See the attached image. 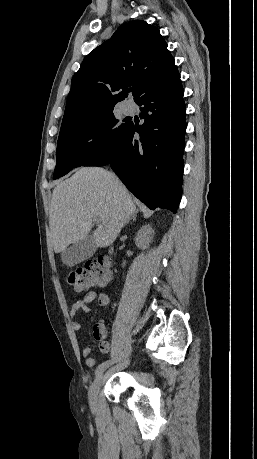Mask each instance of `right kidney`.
I'll return each instance as SVG.
<instances>
[{
  "mask_svg": "<svg viewBox=\"0 0 257 459\" xmlns=\"http://www.w3.org/2000/svg\"><path fill=\"white\" fill-rule=\"evenodd\" d=\"M153 234H154V230L149 224L143 226L136 234V237H135L136 245L140 248L141 247L147 248V246L152 240Z\"/></svg>",
  "mask_w": 257,
  "mask_h": 459,
  "instance_id": "ca27d5eb",
  "label": "right kidney"
}]
</instances>
